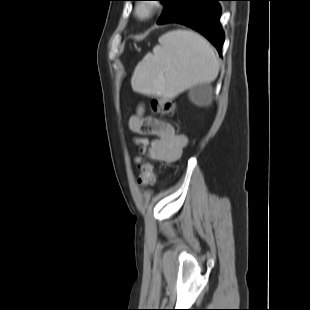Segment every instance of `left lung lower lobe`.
<instances>
[{
	"instance_id": "obj_1",
	"label": "left lung lower lobe",
	"mask_w": 310,
	"mask_h": 310,
	"mask_svg": "<svg viewBox=\"0 0 310 310\" xmlns=\"http://www.w3.org/2000/svg\"><path fill=\"white\" fill-rule=\"evenodd\" d=\"M218 1L186 0L183 8L171 23L190 27L205 36L222 53L224 33L220 24L221 8Z\"/></svg>"
}]
</instances>
